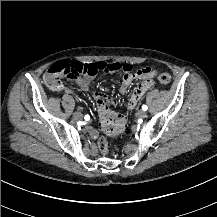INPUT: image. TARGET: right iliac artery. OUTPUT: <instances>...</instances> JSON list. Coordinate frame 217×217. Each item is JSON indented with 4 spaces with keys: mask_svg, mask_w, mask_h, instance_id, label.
I'll use <instances>...</instances> for the list:
<instances>
[{
    "mask_svg": "<svg viewBox=\"0 0 217 217\" xmlns=\"http://www.w3.org/2000/svg\"><path fill=\"white\" fill-rule=\"evenodd\" d=\"M91 118H92L91 115L88 114V115H85V118H84V119H85V121H90Z\"/></svg>",
    "mask_w": 217,
    "mask_h": 217,
    "instance_id": "82829eb1",
    "label": "right iliac artery"
}]
</instances>
